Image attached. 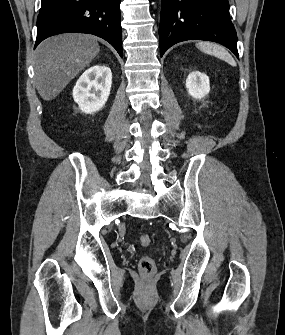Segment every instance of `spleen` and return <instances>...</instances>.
<instances>
[{
	"label": "spleen",
	"instance_id": "3e777b00",
	"mask_svg": "<svg viewBox=\"0 0 285 335\" xmlns=\"http://www.w3.org/2000/svg\"><path fill=\"white\" fill-rule=\"evenodd\" d=\"M197 48L201 50V52H205V54H210V56H215V58H220V60H225L228 62L230 66H236L235 60H233L232 56L222 48V46H217V44H209V42H200L197 44Z\"/></svg>",
	"mask_w": 285,
	"mask_h": 335
}]
</instances>
